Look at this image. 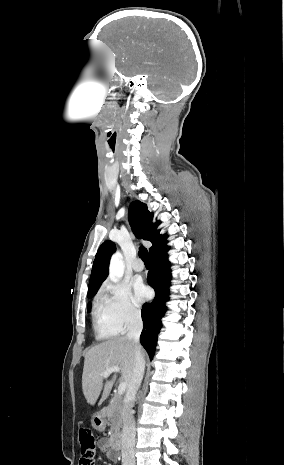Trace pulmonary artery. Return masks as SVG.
<instances>
[{"instance_id":"1","label":"pulmonary artery","mask_w":284,"mask_h":465,"mask_svg":"<svg viewBox=\"0 0 284 465\" xmlns=\"http://www.w3.org/2000/svg\"><path fill=\"white\" fill-rule=\"evenodd\" d=\"M132 269L135 272H141L144 269L143 262L141 260L137 259L135 262H133Z\"/></svg>"}]
</instances>
